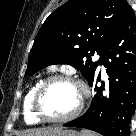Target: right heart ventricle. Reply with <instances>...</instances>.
<instances>
[{"label":"right heart ventricle","instance_id":"right-heart-ventricle-1","mask_svg":"<svg viewBox=\"0 0 136 136\" xmlns=\"http://www.w3.org/2000/svg\"><path fill=\"white\" fill-rule=\"evenodd\" d=\"M40 83L41 81H36L35 83H33L24 97L23 112H24L25 121L28 124H38L40 122L33 114V111L31 108L33 95Z\"/></svg>","mask_w":136,"mask_h":136}]
</instances>
